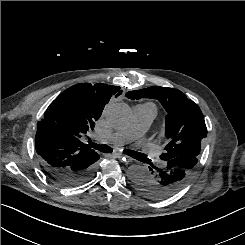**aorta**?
I'll list each match as a JSON object with an SVG mask.
<instances>
[{"label": "aorta", "mask_w": 245, "mask_h": 245, "mask_svg": "<svg viewBox=\"0 0 245 245\" xmlns=\"http://www.w3.org/2000/svg\"><path fill=\"white\" fill-rule=\"evenodd\" d=\"M105 118L109 125L115 128H123L129 124L132 111L124 103H110L105 108ZM147 170L140 165H132L127 170V177L136 182L147 175Z\"/></svg>", "instance_id": "1"}]
</instances>
